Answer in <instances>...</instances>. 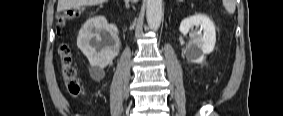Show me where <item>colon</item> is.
<instances>
[{"instance_id":"colon-1","label":"colon","mask_w":283,"mask_h":116,"mask_svg":"<svg viewBox=\"0 0 283 116\" xmlns=\"http://www.w3.org/2000/svg\"><path fill=\"white\" fill-rule=\"evenodd\" d=\"M79 14L80 9L73 8L59 15V26H64L68 21L78 17ZM57 56L67 92L71 96H78L80 94L81 87L77 77V70L71 56L70 48L66 44L60 45L57 49Z\"/></svg>"}]
</instances>
